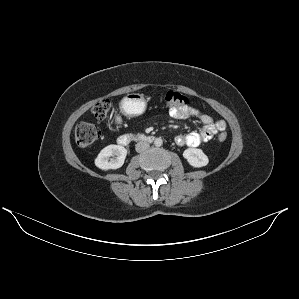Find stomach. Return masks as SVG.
I'll list each match as a JSON object with an SVG mask.
<instances>
[{"instance_id": "obj_1", "label": "stomach", "mask_w": 299, "mask_h": 299, "mask_svg": "<svg viewBox=\"0 0 299 299\" xmlns=\"http://www.w3.org/2000/svg\"><path fill=\"white\" fill-rule=\"evenodd\" d=\"M147 102L142 94H127L120 103L121 110L129 116H138L144 113Z\"/></svg>"}]
</instances>
